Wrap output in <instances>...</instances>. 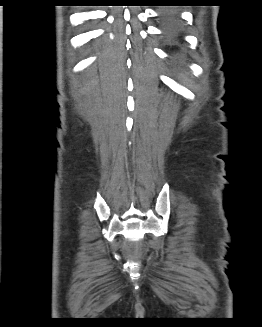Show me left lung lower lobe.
<instances>
[{"label": "left lung lower lobe", "mask_w": 262, "mask_h": 327, "mask_svg": "<svg viewBox=\"0 0 262 327\" xmlns=\"http://www.w3.org/2000/svg\"><path fill=\"white\" fill-rule=\"evenodd\" d=\"M162 16L166 19L168 36L175 38L178 17L171 12H163Z\"/></svg>", "instance_id": "obj_1"}]
</instances>
